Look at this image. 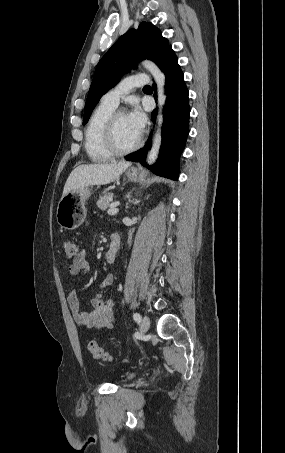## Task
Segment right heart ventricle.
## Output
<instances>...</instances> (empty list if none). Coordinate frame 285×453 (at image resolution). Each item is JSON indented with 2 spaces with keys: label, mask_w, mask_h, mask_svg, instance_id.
<instances>
[{
  "label": "right heart ventricle",
  "mask_w": 285,
  "mask_h": 453,
  "mask_svg": "<svg viewBox=\"0 0 285 453\" xmlns=\"http://www.w3.org/2000/svg\"><path fill=\"white\" fill-rule=\"evenodd\" d=\"M115 108L102 100L89 118L85 128L84 147L93 162H106L113 157L105 146L103 132L105 123Z\"/></svg>",
  "instance_id": "e07e8e85"
}]
</instances>
